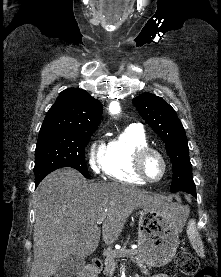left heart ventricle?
I'll return each instance as SVG.
<instances>
[{
	"instance_id": "1",
	"label": "left heart ventricle",
	"mask_w": 221,
	"mask_h": 277,
	"mask_svg": "<svg viewBox=\"0 0 221 277\" xmlns=\"http://www.w3.org/2000/svg\"><path fill=\"white\" fill-rule=\"evenodd\" d=\"M144 172L150 179H157L162 173V164L156 155H149L144 162Z\"/></svg>"
}]
</instances>
